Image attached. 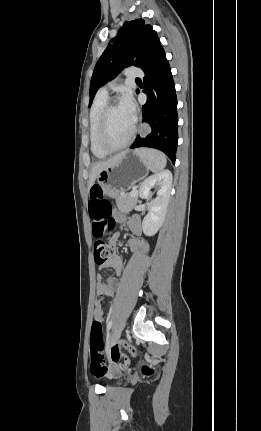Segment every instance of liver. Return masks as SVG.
Returning a JSON list of instances; mask_svg holds the SVG:
<instances>
[{"instance_id":"6515ba94","label":"liver","mask_w":261,"mask_h":431,"mask_svg":"<svg viewBox=\"0 0 261 431\" xmlns=\"http://www.w3.org/2000/svg\"><path fill=\"white\" fill-rule=\"evenodd\" d=\"M126 153L127 151H123L106 161L95 164L92 168L91 175L89 178L88 189L92 187V185L95 183L96 178L102 171L106 170L111 166H114Z\"/></svg>"}]
</instances>
